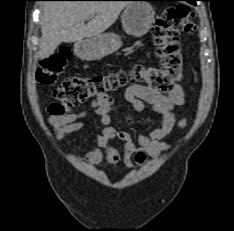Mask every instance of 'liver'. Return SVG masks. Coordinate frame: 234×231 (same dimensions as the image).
I'll return each instance as SVG.
<instances>
[{"label": "liver", "mask_w": 234, "mask_h": 231, "mask_svg": "<svg viewBox=\"0 0 234 231\" xmlns=\"http://www.w3.org/2000/svg\"><path fill=\"white\" fill-rule=\"evenodd\" d=\"M127 1H48L41 22L40 58L51 56L62 42L73 43L107 30ZM92 18L87 24L85 21Z\"/></svg>", "instance_id": "1"}]
</instances>
